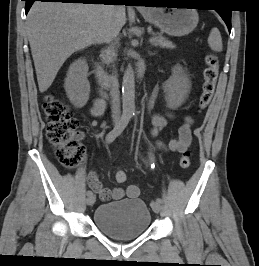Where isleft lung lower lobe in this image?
Masks as SVG:
<instances>
[{
  "label": "left lung lower lobe",
  "instance_id": "1",
  "mask_svg": "<svg viewBox=\"0 0 259 266\" xmlns=\"http://www.w3.org/2000/svg\"><path fill=\"white\" fill-rule=\"evenodd\" d=\"M191 1L192 0H152V1H150V3H162V4L171 5V3H174V2L192 3ZM216 11L220 14V16L222 17V19L226 23L228 30L230 32L231 31V13H232V11L229 9H217Z\"/></svg>",
  "mask_w": 259,
  "mask_h": 266
}]
</instances>
